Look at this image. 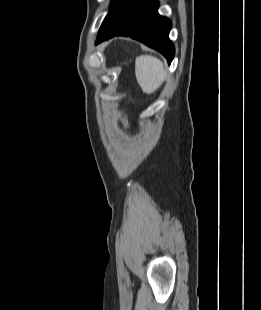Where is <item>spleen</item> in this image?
<instances>
[{"label": "spleen", "mask_w": 261, "mask_h": 310, "mask_svg": "<svg viewBox=\"0 0 261 310\" xmlns=\"http://www.w3.org/2000/svg\"><path fill=\"white\" fill-rule=\"evenodd\" d=\"M135 75L142 91L151 94L161 86L166 72L159 59L145 55L136 59Z\"/></svg>", "instance_id": "3e777b00"}]
</instances>
